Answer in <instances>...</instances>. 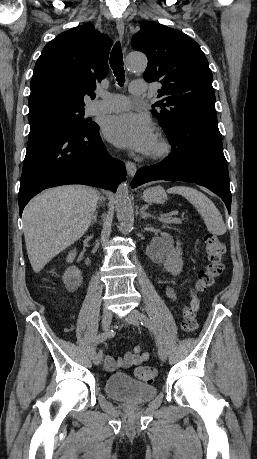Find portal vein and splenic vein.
<instances>
[{
	"instance_id": "18ae733b",
	"label": "portal vein and splenic vein",
	"mask_w": 257,
	"mask_h": 459,
	"mask_svg": "<svg viewBox=\"0 0 257 459\" xmlns=\"http://www.w3.org/2000/svg\"><path fill=\"white\" fill-rule=\"evenodd\" d=\"M174 214H176V212H173V213H171V214H168V215L166 216V220H168L169 222H172V223H181V220H180V219L170 217L171 215H174Z\"/></svg>"
}]
</instances>
